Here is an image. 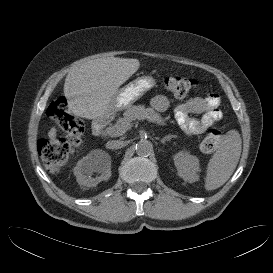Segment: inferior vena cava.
<instances>
[{"label":"inferior vena cava","instance_id":"602c4592","mask_svg":"<svg viewBox=\"0 0 273 273\" xmlns=\"http://www.w3.org/2000/svg\"><path fill=\"white\" fill-rule=\"evenodd\" d=\"M106 146L109 149H120V148H122V147L125 146V142L124 141H120V140H113V141L107 142Z\"/></svg>","mask_w":273,"mask_h":273}]
</instances>
